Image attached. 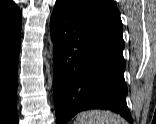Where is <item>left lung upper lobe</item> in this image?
I'll return each instance as SVG.
<instances>
[{"label":"left lung upper lobe","mask_w":156,"mask_h":124,"mask_svg":"<svg viewBox=\"0 0 156 124\" xmlns=\"http://www.w3.org/2000/svg\"><path fill=\"white\" fill-rule=\"evenodd\" d=\"M56 3L77 20L106 30L123 40L122 22L113 0H57Z\"/></svg>","instance_id":"obj_1"}]
</instances>
